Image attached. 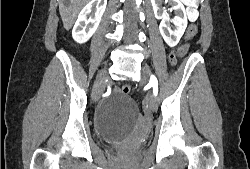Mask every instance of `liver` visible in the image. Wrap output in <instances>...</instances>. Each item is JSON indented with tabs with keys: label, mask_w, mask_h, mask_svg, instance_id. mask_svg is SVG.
<instances>
[{
	"label": "liver",
	"mask_w": 250,
	"mask_h": 169,
	"mask_svg": "<svg viewBox=\"0 0 250 169\" xmlns=\"http://www.w3.org/2000/svg\"><path fill=\"white\" fill-rule=\"evenodd\" d=\"M89 0H59V12L61 14L64 28L69 30L73 26L78 12Z\"/></svg>",
	"instance_id": "1"
}]
</instances>
